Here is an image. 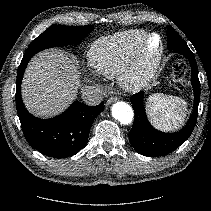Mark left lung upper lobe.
Here are the masks:
<instances>
[{"label": "left lung upper lobe", "mask_w": 211, "mask_h": 211, "mask_svg": "<svg viewBox=\"0 0 211 211\" xmlns=\"http://www.w3.org/2000/svg\"><path fill=\"white\" fill-rule=\"evenodd\" d=\"M167 38L169 37V35H174V36H177V37H179L180 39H182L179 35H178V33L172 28V27H170V26H168L167 27Z\"/></svg>", "instance_id": "5c2ea615"}]
</instances>
